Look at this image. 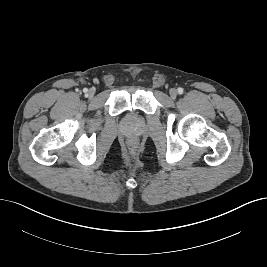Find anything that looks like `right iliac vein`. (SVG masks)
<instances>
[{
  "label": "right iliac vein",
  "mask_w": 267,
  "mask_h": 267,
  "mask_svg": "<svg viewBox=\"0 0 267 267\" xmlns=\"http://www.w3.org/2000/svg\"><path fill=\"white\" fill-rule=\"evenodd\" d=\"M94 94H95V91H94L93 89H90V90L88 91V96H89V97H92Z\"/></svg>",
  "instance_id": "right-iliac-vein-1"
}]
</instances>
